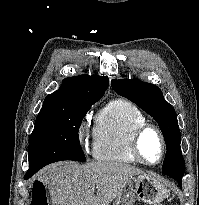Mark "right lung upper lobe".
Listing matches in <instances>:
<instances>
[{
	"label": "right lung upper lobe",
	"mask_w": 199,
	"mask_h": 205,
	"mask_svg": "<svg viewBox=\"0 0 199 205\" xmlns=\"http://www.w3.org/2000/svg\"><path fill=\"white\" fill-rule=\"evenodd\" d=\"M107 77L79 75L65 78L61 87L46 96L41 111L87 99H100L108 88Z\"/></svg>",
	"instance_id": "1"
}]
</instances>
